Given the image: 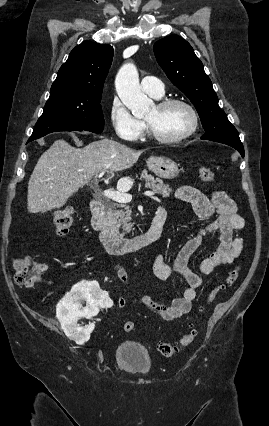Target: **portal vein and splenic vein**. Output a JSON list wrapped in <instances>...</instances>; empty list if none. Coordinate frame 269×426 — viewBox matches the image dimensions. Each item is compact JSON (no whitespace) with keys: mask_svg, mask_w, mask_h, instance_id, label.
Returning a JSON list of instances; mask_svg holds the SVG:
<instances>
[{"mask_svg":"<svg viewBox=\"0 0 269 426\" xmlns=\"http://www.w3.org/2000/svg\"><path fill=\"white\" fill-rule=\"evenodd\" d=\"M105 171L99 173L98 178H101L104 175ZM103 195L108 198L111 199L113 201L119 202V203H128L132 200V195L126 193L125 189H122L121 186L119 185V190L118 191H110V190H105L103 192ZM144 195L146 196H154L155 193L152 191H146L144 192Z\"/></svg>","mask_w":269,"mask_h":426,"instance_id":"portal-vein-and-splenic-vein-1","label":"portal vein and splenic vein"}]
</instances>
